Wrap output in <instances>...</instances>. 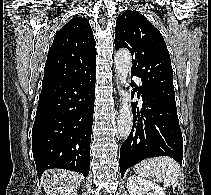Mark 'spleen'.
<instances>
[{
  "mask_svg": "<svg viewBox=\"0 0 211 195\" xmlns=\"http://www.w3.org/2000/svg\"><path fill=\"white\" fill-rule=\"evenodd\" d=\"M133 169L139 176L163 182L166 186L174 185L180 175L179 164L167 156L150 158L135 165Z\"/></svg>",
  "mask_w": 211,
  "mask_h": 195,
  "instance_id": "3e777b00",
  "label": "spleen"
}]
</instances>
